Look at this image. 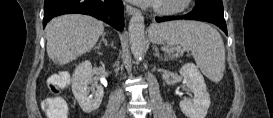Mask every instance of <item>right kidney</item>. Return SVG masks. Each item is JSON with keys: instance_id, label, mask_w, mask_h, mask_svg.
<instances>
[{"instance_id": "1", "label": "right kidney", "mask_w": 273, "mask_h": 118, "mask_svg": "<svg viewBox=\"0 0 273 118\" xmlns=\"http://www.w3.org/2000/svg\"><path fill=\"white\" fill-rule=\"evenodd\" d=\"M91 83L92 65L90 61H84L76 67L73 73L72 92L85 113H90L98 109L104 95L102 86H97L94 93L89 95L90 89L88 88V85Z\"/></svg>"}]
</instances>
